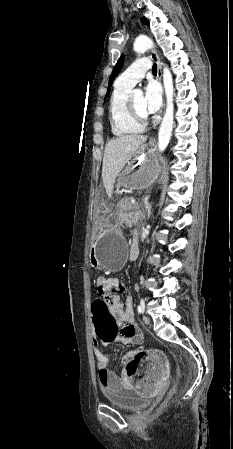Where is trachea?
Returning a JSON list of instances; mask_svg holds the SVG:
<instances>
[{
	"mask_svg": "<svg viewBox=\"0 0 233 449\" xmlns=\"http://www.w3.org/2000/svg\"><path fill=\"white\" fill-rule=\"evenodd\" d=\"M152 73L157 74V65L156 64H154L152 67Z\"/></svg>",
	"mask_w": 233,
	"mask_h": 449,
	"instance_id": "1",
	"label": "trachea"
}]
</instances>
